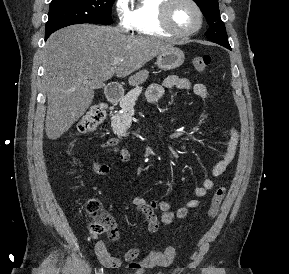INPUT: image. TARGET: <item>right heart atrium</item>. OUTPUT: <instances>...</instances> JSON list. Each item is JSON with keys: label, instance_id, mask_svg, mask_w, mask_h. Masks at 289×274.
Wrapping results in <instances>:
<instances>
[{"label": "right heart atrium", "instance_id": "1", "mask_svg": "<svg viewBox=\"0 0 289 274\" xmlns=\"http://www.w3.org/2000/svg\"><path fill=\"white\" fill-rule=\"evenodd\" d=\"M129 0H115L114 11L117 16L118 25L123 30L132 28L131 12L128 6Z\"/></svg>", "mask_w": 289, "mask_h": 274}]
</instances>
